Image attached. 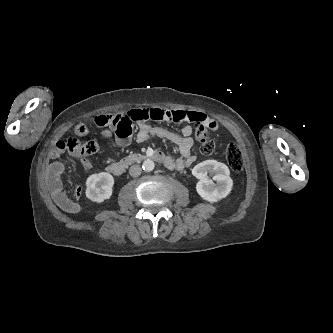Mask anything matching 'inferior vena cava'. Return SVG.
Returning <instances> with one entry per match:
<instances>
[{"label": "inferior vena cava", "instance_id": "1", "mask_svg": "<svg viewBox=\"0 0 333 333\" xmlns=\"http://www.w3.org/2000/svg\"><path fill=\"white\" fill-rule=\"evenodd\" d=\"M141 172H142V169L139 165H133L129 169V174L132 177H138L141 174Z\"/></svg>", "mask_w": 333, "mask_h": 333}]
</instances>
